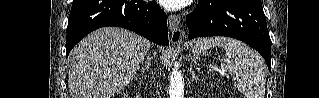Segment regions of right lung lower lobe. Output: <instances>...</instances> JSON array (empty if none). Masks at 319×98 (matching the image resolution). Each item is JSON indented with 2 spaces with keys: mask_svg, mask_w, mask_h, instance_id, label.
<instances>
[{
  "mask_svg": "<svg viewBox=\"0 0 319 98\" xmlns=\"http://www.w3.org/2000/svg\"><path fill=\"white\" fill-rule=\"evenodd\" d=\"M104 26L123 27L156 44H169L166 14L155 1L73 0L67 27L66 57L84 36Z\"/></svg>",
  "mask_w": 319,
  "mask_h": 98,
  "instance_id": "98d812e1",
  "label": "right lung lower lobe"
}]
</instances>
